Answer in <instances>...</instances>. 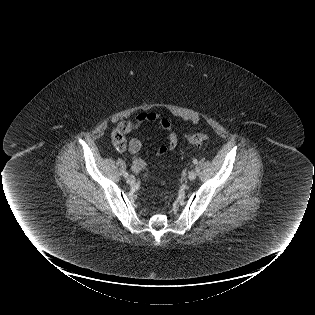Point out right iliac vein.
I'll return each mask as SVG.
<instances>
[{
  "label": "right iliac vein",
  "mask_w": 315,
  "mask_h": 315,
  "mask_svg": "<svg viewBox=\"0 0 315 315\" xmlns=\"http://www.w3.org/2000/svg\"><path fill=\"white\" fill-rule=\"evenodd\" d=\"M135 181H136L135 177L132 176V175L127 178V183L130 184V185L135 184Z\"/></svg>",
  "instance_id": "1"
}]
</instances>
